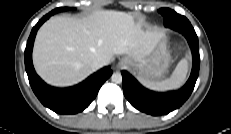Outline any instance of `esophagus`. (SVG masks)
I'll list each match as a JSON object with an SVG mask.
<instances>
[{"label": "esophagus", "mask_w": 231, "mask_h": 134, "mask_svg": "<svg viewBox=\"0 0 231 134\" xmlns=\"http://www.w3.org/2000/svg\"><path fill=\"white\" fill-rule=\"evenodd\" d=\"M124 65L123 61L119 62L118 67H122Z\"/></svg>", "instance_id": "1"}]
</instances>
